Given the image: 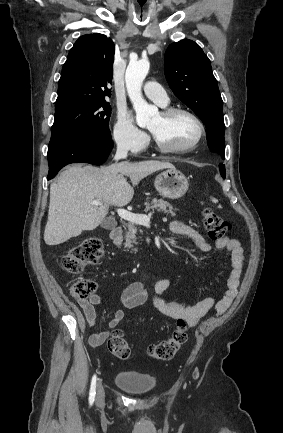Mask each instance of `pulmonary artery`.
<instances>
[{
    "mask_svg": "<svg viewBox=\"0 0 283 433\" xmlns=\"http://www.w3.org/2000/svg\"><path fill=\"white\" fill-rule=\"evenodd\" d=\"M145 95L156 102L159 106L164 107L169 103V97L163 89H160V84L155 81H147L143 86Z\"/></svg>",
    "mask_w": 283,
    "mask_h": 433,
    "instance_id": "e3ab8cb5",
    "label": "pulmonary artery"
}]
</instances>
